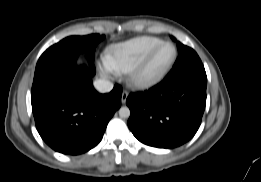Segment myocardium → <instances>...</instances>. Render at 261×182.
I'll list each match as a JSON object with an SVG mask.
<instances>
[{
  "label": "myocardium",
  "mask_w": 261,
  "mask_h": 182,
  "mask_svg": "<svg viewBox=\"0 0 261 182\" xmlns=\"http://www.w3.org/2000/svg\"><path fill=\"white\" fill-rule=\"evenodd\" d=\"M164 46H171L173 48V57L170 62L159 72L151 75L146 74V69L153 59V57ZM177 58V48L171 42H161L154 47L141 61H139L130 71H128L127 80L129 84L135 88H147L160 82L170 71Z\"/></svg>",
  "instance_id": "obj_1"
}]
</instances>
